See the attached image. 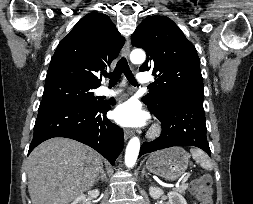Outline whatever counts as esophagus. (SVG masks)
I'll return each mask as SVG.
<instances>
[{
	"label": "esophagus",
	"mask_w": 253,
	"mask_h": 204,
	"mask_svg": "<svg viewBox=\"0 0 253 204\" xmlns=\"http://www.w3.org/2000/svg\"><path fill=\"white\" fill-rule=\"evenodd\" d=\"M130 53V41L129 39L126 41L123 49H122V55L128 58ZM133 135L132 130L130 129H125L124 130V139L127 141L131 136Z\"/></svg>",
	"instance_id": "obj_1"
}]
</instances>
